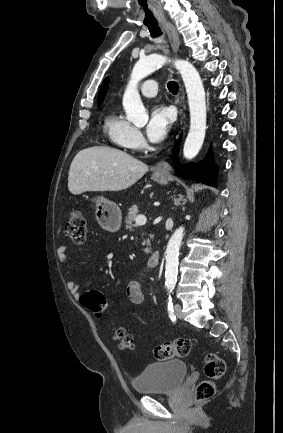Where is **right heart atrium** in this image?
<instances>
[{
  "instance_id": "obj_1",
  "label": "right heart atrium",
  "mask_w": 283,
  "mask_h": 433,
  "mask_svg": "<svg viewBox=\"0 0 283 433\" xmlns=\"http://www.w3.org/2000/svg\"><path fill=\"white\" fill-rule=\"evenodd\" d=\"M122 145H137L139 148L144 146V139L142 137L141 132L134 127H131L123 140L121 141Z\"/></svg>"
}]
</instances>
